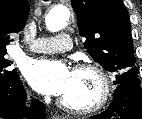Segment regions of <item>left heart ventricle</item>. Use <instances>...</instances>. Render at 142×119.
I'll list each match as a JSON object with an SVG mask.
<instances>
[{
  "mask_svg": "<svg viewBox=\"0 0 142 119\" xmlns=\"http://www.w3.org/2000/svg\"><path fill=\"white\" fill-rule=\"evenodd\" d=\"M99 90V80L93 73L89 71L72 72L70 86L61 98L76 106H89L95 102Z\"/></svg>",
  "mask_w": 142,
  "mask_h": 119,
  "instance_id": "left-heart-ventricle-1",
  "label": "left heart ventricle"
}]
</instances>
